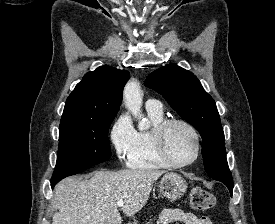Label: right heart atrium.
<instances>
[{"instance_id":"right-heart-atrium-1","label":"right heart atrium","mask_w":275,"mask_h":224,"mask_svg":"<svg viewBox=\"0 0 275 224\" xmlns=\"http://www.w3.org/2000/svg\"><path fill=\"white\" fill-rule=\"evenodd\" d=\"M136 130L130 118L123 114L112 126L110 140L117 157L126 160L135 144Z\"/></svg>"}]
</instances>
